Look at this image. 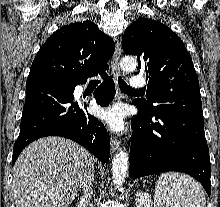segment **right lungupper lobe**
<instances>
[{"label": "right lung upper lobe", "mask_w": 220, "mask_h": 207, "mask_svg": "<svg viewBox=\"0 0 220 207\" xmlns=\"http://www.w3.org/2000/svg\"><path fill=\"white\" fill-rule=\"evenodd\" d=\"M115 43L91 21L74 22L54 32L39 49L28 78L49 76L73 82L104 73Z\"/></svg>", "instance_id": "1"}]
</instances>
